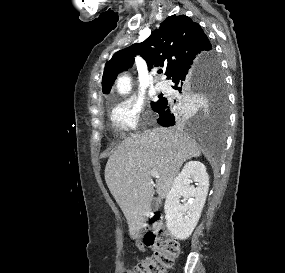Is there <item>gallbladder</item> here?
Instances as JSON below:
<instances>
[{"instance_id":"1","label":"gallbladder","mask_w":285,"mask_h":273,"mask_svg":"<svg viewBox=\"0 0 285 273\" xmlns=\"http://www.w3.org/2000/svg\"><path fill=\"white\" fill-rule=\"evenodd\" d=\"M157 206V198H153L151 202V208L155 209Z\"/></svg>"}]
</instances>
